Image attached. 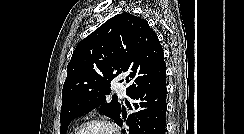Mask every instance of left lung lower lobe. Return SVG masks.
Here are the masks:
<instances>
[{
  "label": "left lung lower lobe",
  "mask_w": 244,
  "mask_h": 134,
  "mask_svg": "<svg viewBox=\"0 0 244 134\" xmlns=\"http://www.w3.org/2000/svg\"><path fill=\"white\" fill-rule=\"evenodd\" d=\"M132 105L127 102L129 109L138 110L128 116L126 123L131 134H165L166 127V84L148 87L127 94ZM123 111L116 120L122 126Z\"/></svg>",
  "instance_id": "left-lung-lower-lobe-1"
}]
</instances>
